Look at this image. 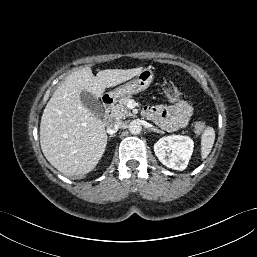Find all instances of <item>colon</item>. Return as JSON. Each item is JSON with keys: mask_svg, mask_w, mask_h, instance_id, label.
Masks as SVG:
<instances>
[{"mask_svg": "<svg viewBox=\"0 0 257 257\" xmlns=\"http://www.w3.org/2000/svg\"><path fill=\"white\" fill-rule=\"evenodd\" d=\"M163 95L169 101H180L182 98V93L180 89L171 81H165L162 86ZM195 129L201 132L205 129V123L198 121L195 123Z\"/></svg>", "mask_w": 257, "mask_h": 257, "instance_id": "colon-1", "label": "colon"}]
</instances>
